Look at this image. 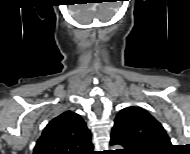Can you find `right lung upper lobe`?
<instances>
[{
    "label": "right lung upper lobe",
    "mask_w": 190,
    "mask_h": 154,
    "mask_svg": "<svg viewBox=\"0 0 190 154\" xmlns=\"http://www.w3.org/2000/svg\"><path fill=\"white\" fill-rule=\"evenodd\" d=\"M91 133L80 115L66 111L51 120L33 154H91Z\"/></svg>",
    "instance_id": "obj_1"
}]
</instances>
